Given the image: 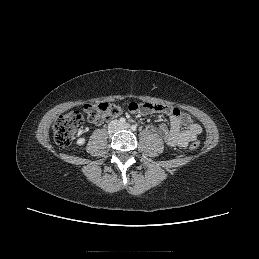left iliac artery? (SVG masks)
I'll use <instances>...</instances> for the list:
<instances>
[{
	"instance_id": "44dca946",
	"label": "left iliac artery",
	"mask_w": 259,
	"mask_h": 259,
	"mask_svg": "<svg viewBox=\"0 0 259 259\" xmlns=\"http://www.w3.org/2000/svg\"><path fill=\"white\" fill-rule=\"evenodd\" d=\"M131 129H132L133 131H135V130H137V126H136V125H132V126H131Z\"/></svg>"
}]
</instances>
